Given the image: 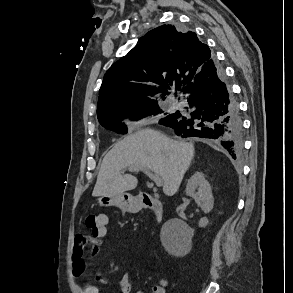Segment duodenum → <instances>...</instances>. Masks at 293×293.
<instances>
[{"label": "duodenum", "instance_id": "duodenum-1", "mask_svg": "<svg viewBox=\"0 0 293 293\" xmlns=\"http://www.w3.org/2000/svg\"><path fill=\"white\" fill-rule=\"evenodd\" d=\"M138 209H150L153 211L155 220L160 222L163 219V204L160 200L150 194H142L137 199Z\"/></svg>", "mask_w": 293, "mask_h": 293}]
</instances>
